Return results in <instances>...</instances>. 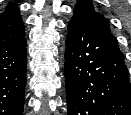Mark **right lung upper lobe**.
Instances as JSON below:
<instances>
[{"mask_svg":"<svg viewBox=\"0 0 131 115\" xmlns=\"http://www.w3.org/2000/svg\"><path fill=\"white\" fill-rule=\"evenodd\" d=\"M24 35L25 32L19 9L15 3H11L0 14V47L13 44Z\"/></svg>","mask_w":131,"mask_h":115,"instance_id":"cb5924a9","label":"right lung upper lobe"}]
</instances>
